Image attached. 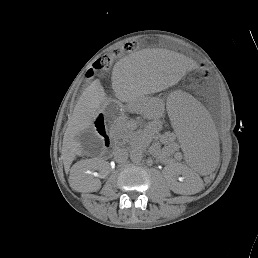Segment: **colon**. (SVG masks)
<instances>
[{
	"label": "colon",
	"mask_w": 258,
	"mask_h": 258,
	"mask_svg": "<svg viewBox=\"0 0 258 258\" xmlns=\"http://www.w3.org/2000/svg\"><path fill=\"white\" fill-rule=\"evenodd\" d=\"M137 45L138 44L136 42H129V43H126L125 45H123L121 48L114 50L112 54H104V55L100 56L94 62L92 68L89 70V74L91 76H94L96 74L107 71L110 68L115 56H117L119 53H121L123 51L132 50V49L136 48Z\"/></svg>",
	"instance_id": "colon-1"
}]
</instances>
